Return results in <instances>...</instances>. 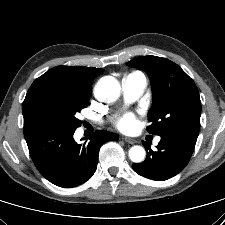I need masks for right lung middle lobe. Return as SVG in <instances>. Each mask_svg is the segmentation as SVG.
Returning a JSON list of instances; mask_svg holds the SVG:
<instances>
[{"mask_svg": "<svg viewBox=\"0 0 225 225\" xmlns=\"http://www.w3.org/2000/svg\"><path fill=\"white\" fill-rule=\"evenodd\" d=\"M90 87L67 79H51L31 85L23 102L24 126L50 124L73 130L76 118L88 106Z\"/></svg>", "mask_w": 225, "mask_h": 225, "instance_id": "dd1d6c3e", "label": "right lung middle lobe"}]
</instances>
